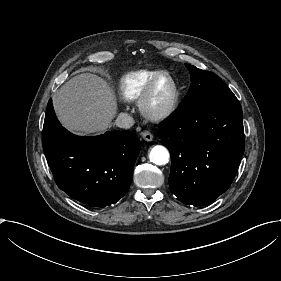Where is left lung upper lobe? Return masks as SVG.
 <instances>
[{
  "mask_svg": "<svg viewBox=\"0 0 281 281\" xmlns=\"http://www.w3.org/2000/svg\"><path fill=\"white\" fill-rule=\"evenodd\" d=\"M185 65L190 71L191 85L179 108L216 99L235 97L222 79L214 73L198 69L189 64Z\"/></svg>",
  "mask_w": 281,
  "mask_h": 281,
  "instance_id": "1",
  "label": "left lung upper lobe"
}]
</instances>
